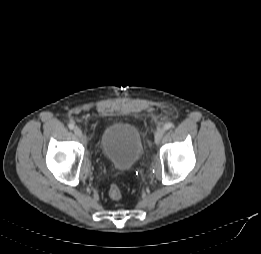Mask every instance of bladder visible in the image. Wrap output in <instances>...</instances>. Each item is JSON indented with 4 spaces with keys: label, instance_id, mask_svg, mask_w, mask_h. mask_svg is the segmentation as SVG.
Wrapping results in <instances>:
<instances>
[{
    "label": "bladder",
    "instance_id": "1",
    "mask_svg": "<svg viewBox=\"0 0 261 254\" xmlns=\"http://www.w3.org/2000/svg\"><path fill=\"white\" fill-rule=\"evenodd\" d=\"M100 151L104 158L119 169L133 167L143 154L138 128L124 122L109 125L101 136Z\"/></svg>",
    "mask_w": 261,
    "mask_h": 254
}]
</instances>
